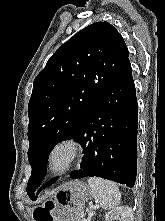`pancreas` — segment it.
<instances>
[{
    "mask_svg": "<svg viewBox=\"0 0 165 221\" xmlns=\"http://www.w3.org/2000/svg\"><path fill=\"white\" fill-rule=\"evenodd\" d=\"M82 216L83 213L79 214L74 221H84V219H82Z\"/></svg>",
    "mask_w": 165,
    "mask_h": 221,
    "instance_id": "cf45deb5",
    "label": "pancreas"
}]
</instances>
